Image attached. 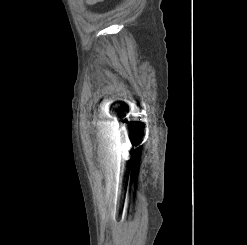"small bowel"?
<instances>
[{"mask_svg":"<svg viewBox=\"0 0 247 245\" xmlns=\"http://www.w3.org/2000/svg\"><path fill=\"white\" fill-rule=\"evenodd\" d=\"M103 0H84L85 4L87 5H94L97 4L99 2H102Z\"/></svg>","mask_w":247,"mask_h":245,"instance_id":"obj_1","label":"small bowel"}]
</instances>
